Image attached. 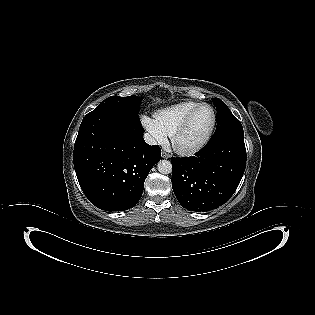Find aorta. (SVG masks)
<instances>
[{
  "mask_svg": "<svg viewBox=\"0 0 315 315\" xmlns=\"http://www.w3.org/2000/svg\"><path fill=\"white\" fill-rule=\"evenodd\" d=\"M157 169L162 174H170L172 172V164L168 160H160Z\"/></svg>",
  "mask_w": 315,
  "mask_h": 315,
  "instance_id": "obj_1",
  "label": "aorta"
}]
</instances>
